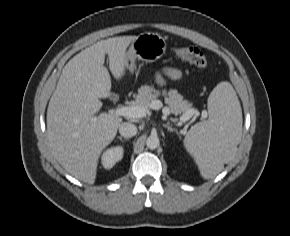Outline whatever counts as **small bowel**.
<instances>
[{
    "label": "small bowel",
    "mask_w": 290,
    "mask_h": 236,
    "mask_svg": "<svg viewBox=\"0 0 290 236\" xmlns=\"http://www.w3.org/2000/svg\"><path fill=\"white\" fill-rule=\"evenodd\" d=\"M164 77H168L173 80H180L182 73L176 68H164L159 74V81L162 82Z\"/></svg>",
    "instance_id": "small-bowel-1"
}]
</instances>
